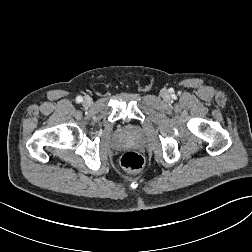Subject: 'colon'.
<instances>
[{"label":"colon","instance_id":"obj_1","mask_svg":"<svg viewBox=\"0 0 252 252\" xmlns=\"http://www.w3.org/2000/svg\"><path fill=\"white\" fill-rule=\"evenodd\" d=\"M121 166L130 172L139 171L144 165V158L141 154L133 151L126 152L120 159Z\"/></svg>","mask_w":252,"mask_h":252}]
</instances>
